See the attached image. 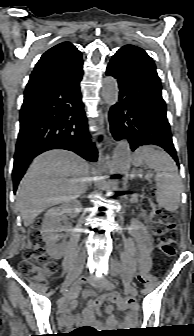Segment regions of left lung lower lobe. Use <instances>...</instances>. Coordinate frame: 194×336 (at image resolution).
Here are the masks:
<instances>
[{"instance_id": "1", "label": "left lung lower lobe", "mask_w": 194, "mask_h": 336, "mask_svg": "<svg viewBox=\"0 0 194 336\" xmlns=\"http://www.w3.org/2000/svg\"><path fill=\"white\" fill-rule=\"evenodd\" d=\"M106 75L116 78L120 89L119 102L109 113L114 138L127 139L132 151L142 145L160 146L178 164L161 83L140 55L128 48L119 49L108 64Z\"/></svg>"}]
</instances>
